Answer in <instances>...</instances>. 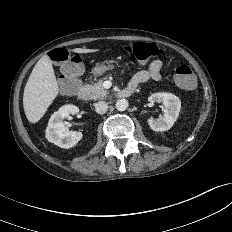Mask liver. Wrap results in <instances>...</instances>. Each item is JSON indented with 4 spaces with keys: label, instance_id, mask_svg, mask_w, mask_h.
<instances>
[{
    "label": "liver",
    "instance_id": "6515ba94",
    "mask_svg": "<svg viewBox=\"0 0 232 232\" xmlns=\"http://www.w3.org/2000/svg\"><path fill=\"white\" fill-rule=\"evenodd\" d=\"M97 49L74 48L72 52L86 54ZM59 93L52 61L45 55L36 63L26 83L23 95V107L29 122H38Z\"/></svg>",
    "mask_w": 232,
    "mask_h": 232
}]
</instances>
